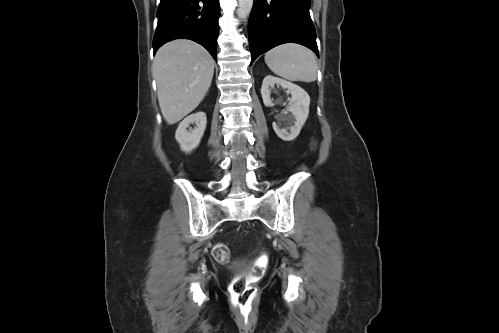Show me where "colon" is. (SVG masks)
<instances>
[{"label":"colon","instance_id":"obj_1","mask_svg":"<svg viewBox=\"0 0 499 333\" xmlns=\"http://www.w3.org/2000/svg\"><path fill=\"white\" fill-rule=\"evenodd\" d=\"M212 255L218 262H228L230 258V251L226 244L217 243L212 249ZM264 272V264L256 263L252 269L250 277L257 279L262 276ZM231 300L234 307H236L241 314L247 316L251 309L254 300V290L249 284V280L245 276L237 277L231 285Z\"/></svg>","mask_w":499,"mask_h":333}]
</instances>
